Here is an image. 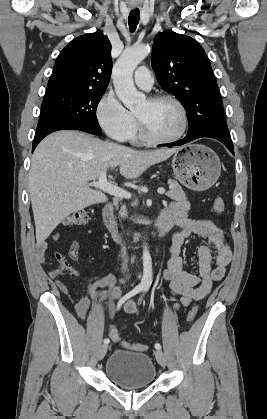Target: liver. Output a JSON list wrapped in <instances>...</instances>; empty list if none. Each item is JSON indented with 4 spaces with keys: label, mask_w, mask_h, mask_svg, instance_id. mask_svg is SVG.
I'll list each match as a JSON object with an SVG mask.
<instances>
[{
    "label": "liver",
    "mask_w": 267,
    "mask_h": 419,
    "mask_svg": "<svg viewBox=\"0 0 267 419\" xmlns=\"http://www.w3.org/2000/svg\"><path fill=\"white\" fill-rule=\"evenodd\" d=\"M178 149L139 151L72 130L48 135L33 153L28 178L37 243L73 212L107 201L88 184L101 172L119 166L122 176L136 179Z\"/></svg>",
    "instance_id": "6515ba94"
}]
</instances>
